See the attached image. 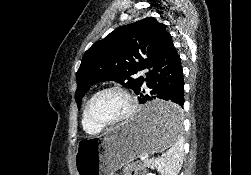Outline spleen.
Listing matches in <instances>:
<instances>
[{
	"label": "spleen",
	"mask_w": 251,
	"mask_h": 175,
	"mask_svg": "<svg viewBox=\"0 0 251 175\" xmlns=\"http://www.w3.org/2000/svg\"><path fill=\"white\" fill-rule=\"evenodd\" d=\"M182 109L173 107L170 113H167V127L172 137V147L166 151L164 157L154 159V163L161 175H178L183 161V141L180 125Z\"/></svg>",
	"instance_id": "obj_1"
}]
</instances>
